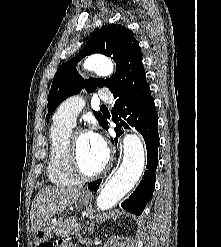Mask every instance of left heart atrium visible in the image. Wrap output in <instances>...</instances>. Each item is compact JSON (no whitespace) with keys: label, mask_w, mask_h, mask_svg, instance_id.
Listing matches in <instances>:
<instances>
[{"label":"left heart atrium","mask_w":221,"mask_h":247,"mask_svg":"<svg viewBox=\"0 0 221 247\" xmlns=\"http://www.w3.org/2000/svg\"><path fill=\"white\" fill-rule=\"evenodd\" d=\"M91 137H92V139L98 144V145H100V146H105V142H104V139H103V137L99 134V133H97V132H89L88 133Z\"/></svg>","instance_id":"left-heart-atrium-1"}]
</instances>
